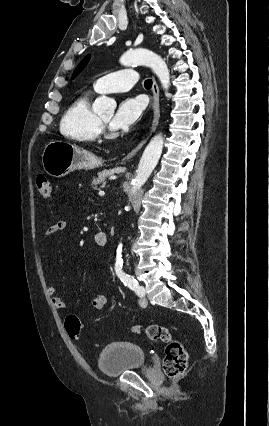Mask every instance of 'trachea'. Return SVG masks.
<instances>
[{
	"label": "trachea",
	"mask_w": 269,
	"mask_h": 426,
	"mask_svg": "<svg viewBox=\"0 0 269 426\" xmlns=\"http://www.w3.org/2000/svg\"><path fill=\"white\" fill-rule=\"evenodd\" d=\"M144 86H145V88H151L152 87V80L151 79L145 80Z\"/></svg>",
	"instance_id": "1"
}]
</instances>
